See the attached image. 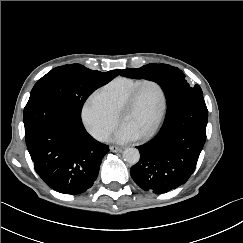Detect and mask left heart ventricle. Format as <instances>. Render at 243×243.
<instances>
[{
    "label": "left heart ventricle",
    "instance_id": "left-heart-ventricle-1",
    "mask_svg": "<svg viewBox=\"0 0 243 243\" xmlns=\"http://www.w3.org/2000/svg\"><path fill=\"white\" fill-rule=\"evenodd\" d=\"M159 88L148 83L141 87L134 106L124 114L122 123L128 125L139 135L147 131L154 123L161 108Z\"/></svg>",
    "mask_w": 243,
    "mask_h": 243
}]
</instances>
